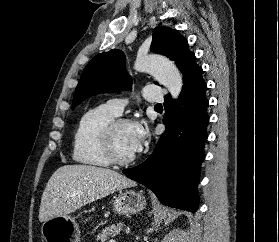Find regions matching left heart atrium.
Wrapping results in <instances>:
<instances>
[{"label":"left heart atrium","instance_id":"obj_1","mask_svg":"<svg viewBox=\"0 0 279 242\" xmlns=\"http://www.w3.org/2000/svg\"><path fill=\"white\" fill-rule=\"evenodd\" d=\"M147 130L141 125H135L134 137H133V149L134 152H140L146 143Z\"/></svg>","mask_w":279,"mask_h":242}]
</instances>
